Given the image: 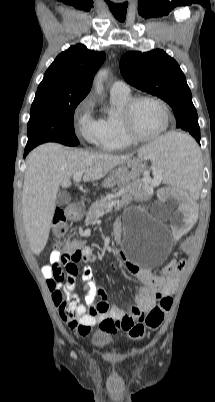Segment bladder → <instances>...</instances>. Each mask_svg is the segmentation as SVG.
<instances>
[{"mask_svg":"<svg viewBox=\"0 0 215 402\" xmlns=\"http://www.w3.org/2000/svg\"><path fill=\"white\" fill-rule=\"evenodd\" d=\"M112 342V336L105 331L96 332L91 339L92 345L100 349L109 347Z\"/></svg>","mask_w":215,"mask_h":402,"instance_id":"31cf9c89","label":"bladder"}]
</instances>
